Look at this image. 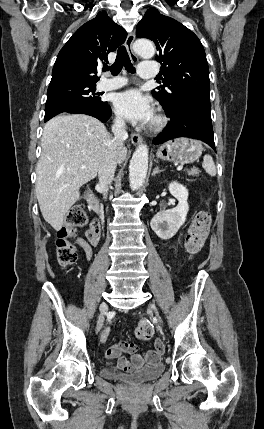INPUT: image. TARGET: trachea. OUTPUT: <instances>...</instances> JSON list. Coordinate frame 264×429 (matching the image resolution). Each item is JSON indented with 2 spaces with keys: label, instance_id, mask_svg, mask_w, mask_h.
<instances>
[{
  "label": "trachea",
  "instance_id": "1",
  "mask_svg": "<svg viewBox=\"0 0 264 429\" xmlns=\"http://www.w3.org/2000/svg\"><path fill=\"white\" fill-rule=\"evenodd\" d=\"M123 67H125L128 72L135 73V69L130 61L126 48L121 46L117 51V57L114 64L110 67H104L103 71L110 70L112 75L115 76L120 73Z\"/></svg>",
  "mask_w": 264,
  "mask_h": 429
}]
</instances>
